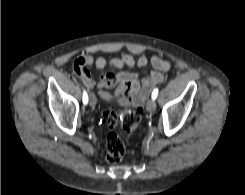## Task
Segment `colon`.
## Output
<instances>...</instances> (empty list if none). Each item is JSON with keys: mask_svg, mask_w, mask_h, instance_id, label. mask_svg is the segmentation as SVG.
<instances>
[{"mask_svg": "<svg viewBox=\"0 0 245 195\" xmlns=\"http://www.w3.org/2000/svg\"><path fill=\"white\" fill-rule=\"evenodd\" d=\"M143 110L137 107L134 110H124L121 113H107L104 122L110 129L106 142L105 160L111 165L119 164L125 154V144L122 134L130 135L138 127Z\"/></svg>", "mask_w": 245, "mask_h": 195, "instance_id": "5ec220e1", "label": "colon"}]
</instances>
